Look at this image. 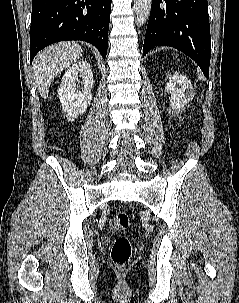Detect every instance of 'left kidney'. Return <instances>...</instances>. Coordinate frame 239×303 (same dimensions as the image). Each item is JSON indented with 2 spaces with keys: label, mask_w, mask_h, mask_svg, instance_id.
<instances>
[{
  "label": "left kidney",
  "mask_w": 239,
  "mask_h": 303,
  "mask_svg": "<svg viewBox=\"0 0 239 303\" xmlns=\"http://www.w3.org/2000/svg\"><path fill=\"white\" fill-rule=\"evenodd\" d=\"M165 91L170 93V112L172 114L180 111L195 96V91L191 82L183 75L174 73L169 77L165 86Z\"/></svg>",
  "instance_id": "5707ae66"
}]
</instances>
